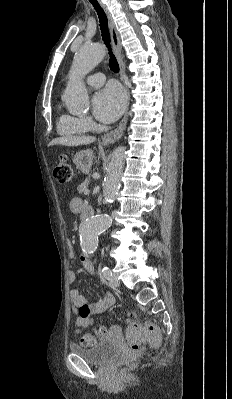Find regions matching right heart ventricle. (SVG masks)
Wrapping results in <instances>:
<instances>
[{"label":"right heart ventricle","mask_w":232,"mask_h":399,"mask_svg":"<svg viewBox=\"0 0 232 399\" xmlns=\"http://www.w3.org/2000/svg\"><path fill=\"white\" fill-rule=\"evenodd\" d=\"M92 129L84 123L83 118L68 114L60 115L56 121L57 134L68 140L80 139Z\"/></svg>","instance_id":"right-heart-ventricle-1"}]
</instances>
